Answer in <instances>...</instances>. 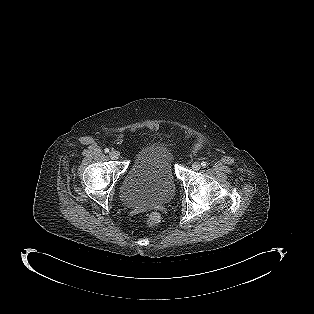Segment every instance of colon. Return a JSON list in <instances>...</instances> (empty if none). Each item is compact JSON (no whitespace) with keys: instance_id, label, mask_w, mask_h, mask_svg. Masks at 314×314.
Instances as JSON below:
<instances>
[{"instance_id":"colon-1","label":"colon","mask_w":314,"mask_h":314,"mask_svg":"<svg viewBox=\"0 0 314 314\" xmlns=\"http://www.w3.org/2000/svg\"><path fill=\"white\" fill-rule=\"evenodd\" d=\"M161 221L160 215L158 213H151L148 216L147 222L150 226L158 225Z\"/></svg>"}]
</instances>
